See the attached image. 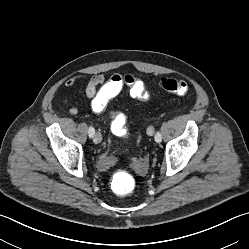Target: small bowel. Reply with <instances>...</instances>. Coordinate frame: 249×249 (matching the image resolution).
<instances>
[{
	"mask_svg": "<svg viewBox=\"0 0 249 249\" xmlns=\"http://www.w3.org/2000/svg\"><path fill=\"white\" fill-rule=\"evenodd\" d=\"M83 75H74L69 77L65 82V87L68 89H72L75 83L82 79ZM110 79L106 80V77L103 73H97L93 75L85 87V95L90 102V107L92 111L96 114H101L106 108V101L110 97L111 90ZM117 95V94H116ZM116 95H113L111 98H114ZM63 103L66 105L69 114L77 115L80 112V109L77 106L69 105V102L66 99H63ZM124 119L122 114H116L113 116V121L111 124V129L113 124L118 121ZM110 162V157L105 155L101 159V163L108 165ZM145 163L142 162L139 165V172L144 173Z\"/></svg>",
	"mask_w": 249,
	"mask_h": 249,
	"instance_id": "c3829d8e",
	"label": "small bowel"
}]
</instances>
